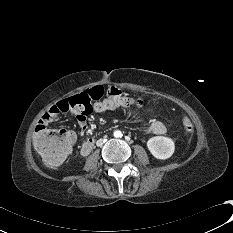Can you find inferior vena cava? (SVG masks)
Instances as JSON below:
<instances>
[{
	"mask_svg": "<svg viewBox=\"0 0 233 233\" xmlns=\"http://www.w3.org/2000/svg\"><path fill=\"white\" fill-rule=\"evenodd\" d=\"M96 144H97V146H102L103 145V141L100 139V140L97 141Z\"/></svg>",
	"mask_w": 233,
	"mask_h": 233,
	"instance_id": "obj_1",
	"label": "inferior vena cava"
}]
</instances>
